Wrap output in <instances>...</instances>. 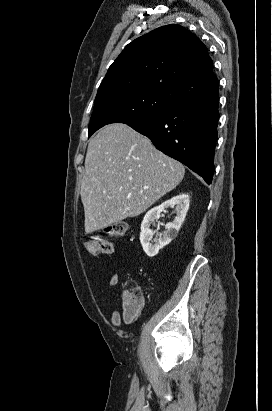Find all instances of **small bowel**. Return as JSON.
<instances>
[{
  "label": "small bowel",
  "mask_w": 272,
  "mask_h": 411,
  "mask_svg": "<svg viewBox=\"0 0 272 411\" xmlns=\"http://www.w3.org/2000/svg\"><path fill=\"white\" fill-rule=\"evenodd\" d=\"M119 283V275L118 273H113L109 279V286L111 288H115ZM106 304L109 306L111 301L109 298L106 299ZM111 322L114 327H119L121 325V313L114 309L111 315Z\"/></svg>",
  "instance_id": "small-bowel-1"
}]
</instances>
